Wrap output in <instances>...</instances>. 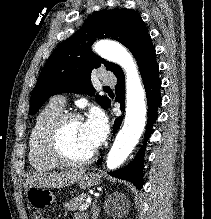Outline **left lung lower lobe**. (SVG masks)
I'll list each match as a JSON object with an SVG mask.
<instances>
[{
    "label": "left lung lower lobe",
    "instance_id": "1",
    "mask_svg": "<svg viewBox=\"0 0 211 219\" xmlns=\"http://www.w3.org/2000/svg\"><path fill=\"white\" fill-rule=\"evenodd\" d=\"M137 64L140 70L141 77L143 78V84L146 90V97L148 103V120H147V134L145 137V143L138 152L135 159L123 169L110 172L114 177L128 180L141 189L142 184V171H143V156L145 151L146 141L150 137L152 126L157 119V109L161 103L160 87L161 81L159 79L158 71L159 67L155 58V49L152 44L151 37L149 36L142 46L139 48L135 55ZM117 85L115 87L116 101L120 103V109H125V86H124V74L122 69L116 74ZM122 123V117L115 119L113 125L114 133L118 130ZM101 161L98 162V165Z\"/></svg>",
    "mask_w": 211,
    "mask_h": 219
}]
</instances>
